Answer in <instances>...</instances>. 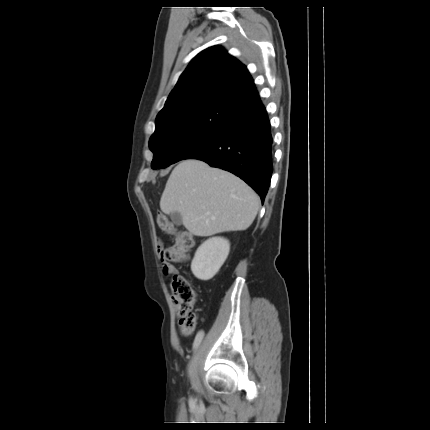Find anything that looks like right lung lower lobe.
<instances>
[{
  "label": "right lung lower lobe",
  "mask_w": 430,
  "mask_h": 430,
  "mask_svg": "<svg viewBox=\"0 0 430 430\" xmlns=\"http://www.w3.org/2000/svg\"><path fill=\"white\" fill-rule=\"evenodd\" d=\"M272 144L270 122L258 99L237 114L228 128L186 159H199L234 173L251 186L263 202L273 172Z\"/></svg>",
  "instance_id": "98d812e1"
}]
</instances>
